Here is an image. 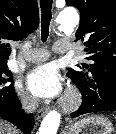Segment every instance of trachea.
<instances>
[{
  "mask_svg": "<svg viewBox=\"0 0 116 134\" xmlns=\"http://www.w3.org/2000/svg\"><path fill=\"white\" fill-rule=\"evenodd\" d=\"M41 7V38L45 42L49 35V26L52 19V0H40Z\"/></svg>",
  "mask_w": 116,
  "mask_h": 134,
  "instance_id": "3493384b",
  "label": "trachea"
}]
</instances>
